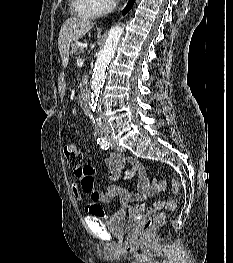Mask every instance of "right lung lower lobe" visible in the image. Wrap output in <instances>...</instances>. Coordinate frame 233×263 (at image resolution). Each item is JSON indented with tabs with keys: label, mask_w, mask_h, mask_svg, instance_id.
Returning <instances> with one entry per match:
<instances>
[{
	"label": "right lung lower lobe",
	"mask_w": 233,
	"mask_h": 263,
	"mask_svg": "<svg viewBox=\"0 0 233 263\" xmlns=\"http://www.w3.org/2000/svg\"><path fill=\"white\" fill-rule=\"evenodd\" d=\"M134 1H135V0H129L128 5L126 6V8H125L124 11H123V14H126V13L130 10V8L132 7V5L134 4Z\"/></svg>",
	"instance_id": "obj_1"
}]
</instances>
